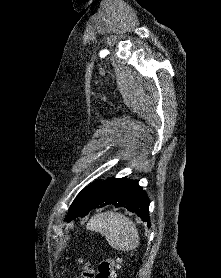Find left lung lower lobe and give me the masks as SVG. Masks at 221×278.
<instances>
[{
	"label": "left lung lower lobe",
	"instance_id": "obj_1",
	"mask_svg": "<svg viewBox=\"0 0 221 278\" xmlns=\"http://www.w3.org/2000/svg\"><path fill=\"white\" fill-rule=\"evenodd\" d=\"M149 203L146 192L142 190L137 181L126 178H109L104 182H95L89 188H85L71 214L67 217V221L70 222L78 216L84 217L94 208L112 204L136 213L150 227Z\"/></svg>",
	"mask_w": 221,
	"mask_h": 278
}]
</instances>
